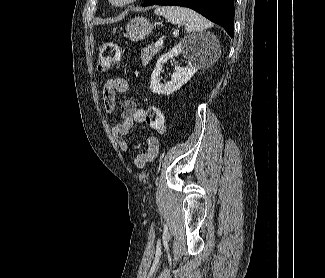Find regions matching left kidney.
<instances>
[{
    "mask_svg": "<svg viewBox=\"0 0 325 278\" xmlns=\"http://www.w3.org/2000/svg\"><path fill=\"white\" fill-rule=\"evenodd\" d=\"M208 45L206 40L199 36L185 37L178 45H176L170 52L162 55L152 72L150 89L155 94L170 95L179 90L186 84L192 76L198 71V61L201 53ZM182 54L188 61L187 67L175 66V72L171 75V80L160 83V74L162 72L163 64L176 55Z\"/></svg>",
    "mask_w": 325,
    "mask_h": 278,
    "instance_id": "left-kidney-1",
    "label": "left kidney"
}]
</instances>
